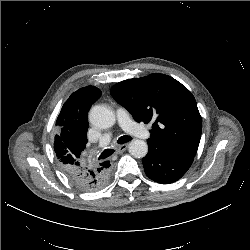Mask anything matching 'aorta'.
<instances>
[{"instance_id":"aorta-1","label":"aorta","mask_w":250,"mask_h":250,"mask_svg":"<svg viewBox=\"0 0 250 250\" xmlns=\"http://www.w3.org/2000/svg\"><path fill=\"white\" fill-rule=\"evenodd\" d=\"M91 124L98 129H109L114 126L116 117L114 112L106 106H93L89 112ZM148 152V145L143 140H133L129 144V153L135 158H143Z\"/></svg>"}]
</instances>
